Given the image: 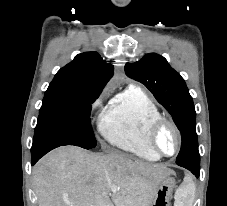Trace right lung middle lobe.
<instances>
[{"label": "right lung middle lobe", "mask_w": 227, "mask_h": 206, "mask_svg": "<svg viewBox=\"0 0 227 206\" xmlns=\"http://www.w3.org/2000/svg\"><path fill=\"white\" fill-rule=\"evenodd\" d=\"M99 95L47 89L39 110L32 148L50 141L85 149L96 147L89 107Z\"/></svg>", "instance_id": "1"}]
</instances>
